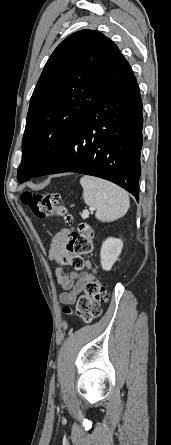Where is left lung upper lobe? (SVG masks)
<instances>
[{
  "mask_svg": "<svg viewBox=\"0 0 171 445\" xmlns=\"http://www.w3.org/2000/svg\"><path fill=\"white\" fill-rule=\"evenodd\" d=\"M132 74L118 47L97 31L81 30L63 40L46 62L30 100L18 181L32 178L78 119Z\"/></svg>",
  "mask_w": 171,
  "mask_h": 445,
  "instance_id": "left-lung-upper-lobe-1",
  "label": "left lung upper lobe"
}]
</instances>
